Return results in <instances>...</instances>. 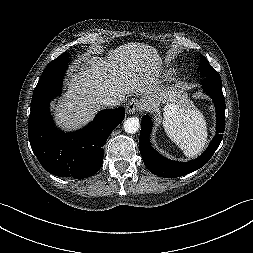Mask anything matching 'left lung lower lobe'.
<instances>
[{
  "mask_svg": "<svg viewBox=\"0 0 253 253\" xmlns=\"http://www.w3.org/2000/svg\"><path fill=\"white\" fill-rule=\"evenodd\" d=\"M204 90L213 99L216 107V135L205 152L197 159L181 163L165 158L156 152L150 142L149 136L153 123L149 116L142 117V126L139 138V149L145 166L155 175L165 178H175L191 173L205 165L218 148L225 129V100L222 92V81L205 77L202 81Z\"/></svg>",
  "mask_w": 253,
  "mask_h": 253,
  "instance_id": "obj_1",
  "label": "left lung lower lobe"
}]
</instances>
